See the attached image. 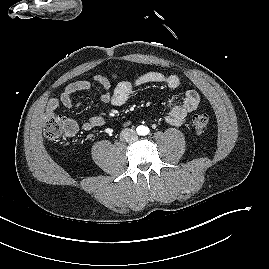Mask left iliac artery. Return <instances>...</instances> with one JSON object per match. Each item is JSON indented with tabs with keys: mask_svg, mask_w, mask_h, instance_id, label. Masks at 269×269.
Masks as SVG:
<instances>
[{
	"mask_svg": "<svg viewBox=\"0 0 269 269\" xmlns=\"http://www.w3.org/2000/svg\"><path fill=\"white\" fill-rule=\"evenodd\" d=\"M146 132L148 133L149 132V129H146Z\"/></svg>",
	"mask_w": 269,
	"mask_h": 269,
	"instance_id": "left-iliac-artery-1",
	"label": "left iliac artery"
}]
</instances>
